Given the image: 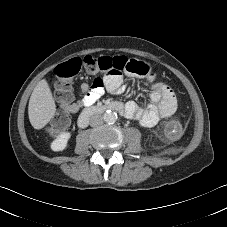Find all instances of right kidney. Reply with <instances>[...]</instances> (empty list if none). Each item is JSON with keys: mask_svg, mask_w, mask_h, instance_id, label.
<instances>
[{"mask_svg": "<svg viewBox=\"0 0 227 227\" xmlns=\"http://www.w3.org/2000/svg\"><path fill=\"white\" fill-rule=\"evenodd\" d=\"M71 134L69 132H63L57 136V138L51 143V149L53 151H62L66 148L68 140Z\"/></svg>", "mask_w": 227, "mask_h": 227, "instance_id": "1", "label": "right kidney"}]
</instances>
